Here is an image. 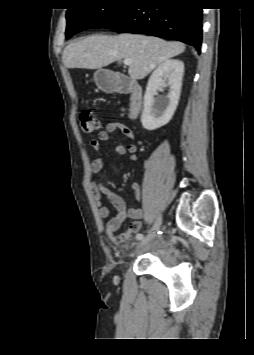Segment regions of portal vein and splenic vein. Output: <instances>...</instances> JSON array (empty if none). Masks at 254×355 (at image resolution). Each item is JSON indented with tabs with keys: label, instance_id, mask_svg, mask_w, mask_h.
Wrapping results in <instances>:
<instances>
[{
	"label": "portal vein and splenic vein",
	"instance_id": "1",
	"mask_svg": "<svg viewBox=\"0 0 254 355\" xmlns=\"http://www.w3.org/2000/svg\"><path fill=\"white\" fill-rule=\"evenodd\" d=\"M132 60L131 59H124V61H123V63L125 64V65H131L132 64Z\"/></svg>",
	"mask_w": 254,
	"mask_h": 355
}]
</instances>
